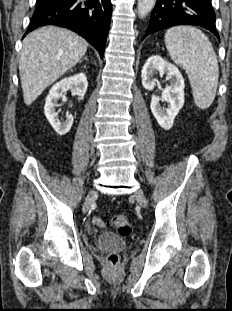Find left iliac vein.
I'll use <instances>...</instances> for the list:
<instances>
[{"mask_svg": "<svg viewBox=\"0 0 232 311\" xmlns=\"http://www.w3.org/2000/svg\"><path fill=\"white\" fill-rule=\"evenodd\" d=\"M134 197L136 198V200L138 201V203L145 207L147 205V202H146V198H145V195L144 193L141 191V190H138L135 194H134Z\"/></svg>", "mask_w": 232, "mask_h": 311, "instance_id": "obj_1", "label": "left iliac vein"}]
</instances>
